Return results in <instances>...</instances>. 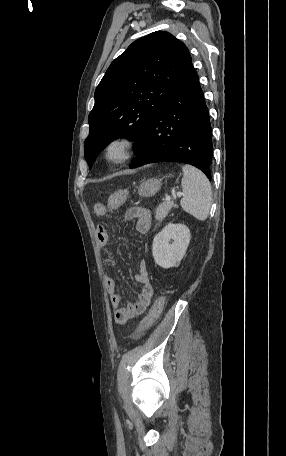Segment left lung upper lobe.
<instances>
[{
	"label": "left lung upper lobe",
	"mask_w": 286,
	"mask_h": 456,
	"mask_svg": "<svg viewBox=\"0 0 286 456\" xmlns=\"http://www.w3.org/2000/svg\"><path fill=\"white\" fill-rule=\"evenodd\" d=\"M192 65L184 43L156 31L133 42L107 69L95 90L84 155L89 167L112 140L142 141L167 96Z\"/></svg>",
	"instance_id": "left-lung-upper-lobe-1"
}]
</instances>
